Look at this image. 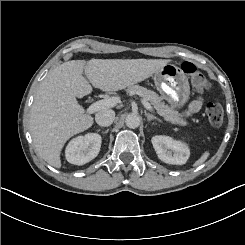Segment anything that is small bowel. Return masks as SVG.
Listing matches in <instances>:
<instances>
[{
  "label": "small bowel",
  "instance_id": "c3829d8e",
  "mask_svg": "<svg viewBox=\"0 0 245 245\" xmlns=\"http://www.w3.org/2000/svg\"><path fill=\"white\" fill-rule=\"evenodd\" d=\"M203 105V98L202 97H197L195 98L189 105L187 114L192 115L194 113H197Z\"/></svg>",
  "mask_w": 245,
  "mask_h": 245
}]
</instances>
